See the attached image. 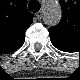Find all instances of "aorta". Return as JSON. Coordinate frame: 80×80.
I'll return each mask as SVG.
<instances>
[{"instance_id":"obj_1","label":"aorta","mask_w":80,"mask_h":80,"mask_svg":"<svg viewBox=\"0 0 80 80\" xmlns=\"http://www.w3.org/2000/svg\"><path fill=\"white\" fill-rule=\"evenodd\" d=\"M61 17L62 13L59 5H54L53 7L48 5L43 19L47 25L55 26L60 22Z\"/></svg>"}]
</instances>
